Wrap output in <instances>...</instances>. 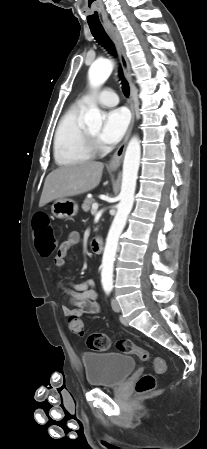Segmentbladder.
<instances>
[{
  "label": "bladder",
  "instance_id": "bladder-1",
  "mask_svg": "<svg viewBox=\"0 0 207 449\" xmlns=\"http://www.w3.org/2000/svg\"><path fill=\"white\" fill-rule=\"evenodd\" d=\"M82 364L87 383L92 387H116L136 368L134 358L118 352H86Z\"/></svg>",
  "mask_w": 207,
  "mask_h": 449
}]
</instances>
